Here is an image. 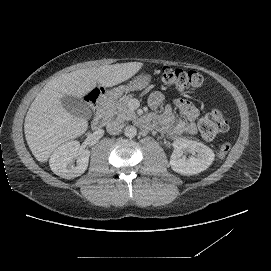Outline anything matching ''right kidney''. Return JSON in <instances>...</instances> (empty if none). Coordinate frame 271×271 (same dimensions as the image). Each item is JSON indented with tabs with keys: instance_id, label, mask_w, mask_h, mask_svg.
<instances>
[{
	"instance_id": "right-kidney-1",
	"label": "right kidney",
	"mask_w": 271,
	"mask_h": 271,
	"mask_svg": "<svg viewBox=\"0 0 271 271\" xmlns=\"http://www.w3.org/2000/svg\"><path fill=\"white\" fill-rule=\"evenodd\" d=\"M80 143L74 139H70L60 144L49 158L51 170L58 176L64 178H73L81 175L88 165V152L78 153ZM73 157L77 158V162L73 164Z\"/></svg>"
}]
</instances>
